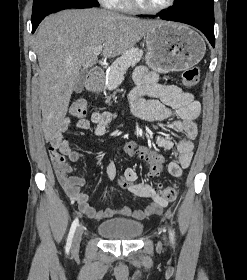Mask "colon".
<instances>
[{"label":"colon","instance_id":"colon-1","mask_svg":"<svg viewBox=\"0 0 247 280\" xmlns=\"http://www.w3.org/2000/svg\"><path fill=\"white\" fill-rule=\"evenodd\" d=\"M182 80L185 86L193 87L199 83L200 71L197 67H190L182 73ZM71 114L76 117H82L87 112V102L84 99L75 100L70 108ZM123 151L129 156H139L151 164V176H157L161 173L164 158L157 154L150 145H141L139 141H128L123 145ZM49 154L53 167L58 176L68 177L72 171L71 166L66 159L54 148H49ZM130 176V174H129ZM119 189L126 191L131 186V181L126 176H118L116 179ZM161 196L167 201H173L177 196L178 185L159 186Z\"/></svg>","mask_w":247,"mask_h":280}]
</instances>
